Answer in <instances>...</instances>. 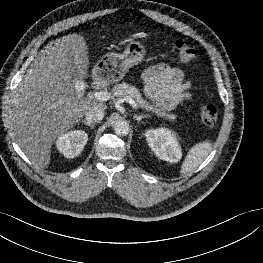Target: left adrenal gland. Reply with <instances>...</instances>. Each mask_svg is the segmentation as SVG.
<instances>
[{"label":"left adrenal gland","instance_id":"1","mask_svg":"<svg viewBox=\"0 0 263 263\" xmlns=\"http://www.w3.org/2000/svg\"><path fill=\"white\" fill-rule=\"evenodd\" d=\"M151 116L149 114H141V115H134V119L137 121V122H140L143 118H150Z\"/></svg>","mask_w":263,"mask_h":263}]
</instances>
